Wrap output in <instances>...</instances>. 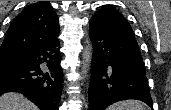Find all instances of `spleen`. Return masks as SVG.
<instances>
[{
  "label": "spleen",
  "instance_id": "spleen-1",
  "mask_svg": "<svg viewBox=\"0 0 171 110\" xmlns=\"http://www.w3.org/2000/svg\"><path fill=\"white\" fill-rule=\"evenodd\" d=\"M108 110H146L139 100L120 101L111 105Z\"/></svg>",
  "mask_w": 171,
  "mask_h": 110
}]
</instances>
